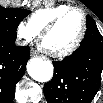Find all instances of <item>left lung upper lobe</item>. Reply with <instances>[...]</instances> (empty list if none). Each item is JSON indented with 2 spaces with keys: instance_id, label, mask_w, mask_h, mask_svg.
Masks as SVG:
<instances>
[{
  "instance_id": "5c2ea615",
  "label": "left lung upper lobe",
  "mask_w": 103,
  "mask_h": 103,
  "mask_svg": "<svg viewBox=\"0 0 103 103\" xmlns=\"http://www.w3.org/2000/svg\"><path fill=\"white\" fill-rule=\"evenodd\" d=\"M86 25H87V27L96 26V23H95V21L93 20V18L91 16H87Z\"/></svg>"
}]
</instances>
